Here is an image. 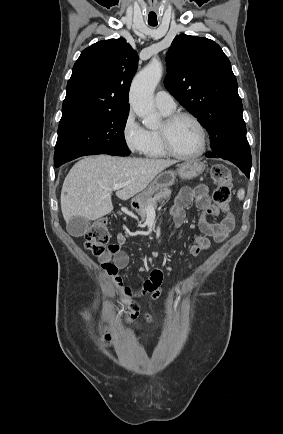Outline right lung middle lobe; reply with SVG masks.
Wrapping results in <instances>:
<instances>
[{
	"mask_svg": "<svg viewBox=\"0 0 283 434\" xmlns=\"http://www.w3.org/2000/svg\"><path fill=\"white\" fill-rule=\"evenodd\" d=\"M129 111L72 114L62 117L58 127L54 165L85 155L130 154L124 137Z\"/></svg>",
	"mask_w": 283,
	"mask_h": 434,
	"instance_id": "1",
	"label": "right lung middle lobe"
}]
</instances>
